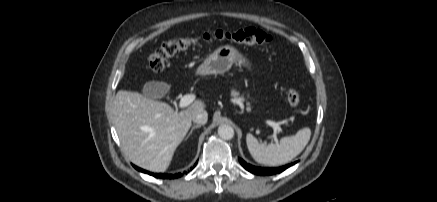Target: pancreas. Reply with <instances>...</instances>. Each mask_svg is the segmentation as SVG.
<instances>
[{"mask_svg": "<svg viewBox=\"0 0 437 202\" xmlns=\"http://www.w3.org/2000/svg\"><path fill=\"white\" fill-rule=\"evenodd\" d=\"M231 95L235 98V99H239L240 101H243L244 98L243 97H239V93L235 90L231 91ZM247 110H250V107L247 108Z\"/></svg>", "mask_w": 437, "mask_h": 202, "instance_id": "1", "label": "pancreas"}]
</instances>
